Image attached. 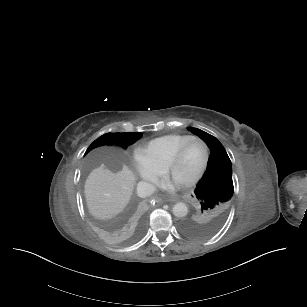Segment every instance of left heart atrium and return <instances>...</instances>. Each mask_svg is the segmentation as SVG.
Segmentation results:
<instances>
[{
    "mask_svg": "<svg viewBox=\"0 0 307 307\" xmlns=\"http://www.w3.org/2000/svg\"><path fill=\"white\" fill-rule=\"evenodd\" d=\"M174 185H177V184H175V183H173V182H171L170 180H169V183H168V185H163L162 187H164V188H166V187H168V188H171V187H173Z\"/></svg>",
    "mask_w": 307,
    "mask_h": 307,
    "instance_id": "39dd6f15",
    "label": "left heart atrium"
}]
</instances>
